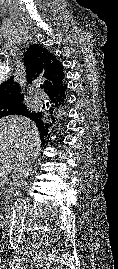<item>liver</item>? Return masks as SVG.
<instances>
[{"mask_svg": "<svg viewBox=\"0 0 118 269\" xmlns=\"http://www.w3.org/2000/svg\"><path fill=\"white\" fill-rule=\"evenodd\" d=\"M41 151L39 131L35 123L23 116H8L0 119V173L17 174L23 159L33 160Z\"/></svg>", "mask_w": 118, "mask_h": 269, "instance_id": "obj_1", "label": "liver"}]
</instances>
